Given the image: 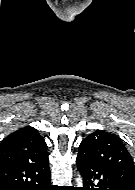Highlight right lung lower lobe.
Segmentation results:
<instances>
[{"instance_id":"obj_1","label":"right lung lower lobe","mask_w":135,"mask_h":190,"mask_svg":"<svg viewBox=\"0 0 135 190\" xmlns=\"http://www.w3.org/2000/svg\"><path fill=\"white\" fill-rule=\"evenodd\" d=\"M0 190H54L50 184L48 158L1 166Z\"/></svg>"}]
</instances>
